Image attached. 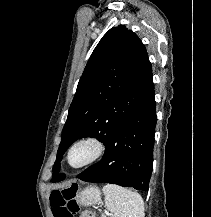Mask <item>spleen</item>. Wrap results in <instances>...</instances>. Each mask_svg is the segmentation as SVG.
<instances>
[{
  "instance_id": "obj_1",
  "label": "spleen",
  "mask_w": 211,
  "mask_h": 217,
  "mask_svg": "<svg viewBox=\"0 0 211 217\" xmlns=\"http://www.w3.org/2000/svg\"><path fill=\"white\" fill-rule=\"evenodd\" d=\"M103 193L112 217H144V202L139 193L115 184H106Z\"/></svg>"
}]
</instances>
